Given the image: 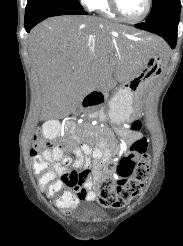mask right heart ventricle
<instances>
[{"mask_svg":"<svg viewBox=\"0 0 183 246\" xmlns=\"http://www.w3.org/2000/svg\"><path fill=\"white\" fill-rule=\"evenodd\" d=\"M89 8L103 16L117 18L116 14L110 7L108 0H92Z\"/></svg>","mask_w":183,"mask_h":246,"instance_id":"1","label":"right heart ventricle"}]
</instances>
